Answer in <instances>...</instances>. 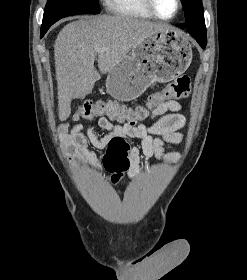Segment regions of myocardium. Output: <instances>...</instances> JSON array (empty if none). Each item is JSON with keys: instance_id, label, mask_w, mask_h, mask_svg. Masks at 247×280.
I'll list each match as a JSON object with an SVG mask.
<instances>
[{"instance_id": "obj_1", "label": "myocardium", "mask_w": 247, "mask_h": 280, "mask_svg": "<svg viewBox=\"0 0 247 280\" xmlns=\"http://www.w3.org/2000/svg\"><path fill=\"white\" fill-rule=\"evenodd\" d=\"M144 2H145V5H146V8L152 14V16L156 19L161 20V21H172V20H174L179 15L180 10L182 8V1L181 0H176L177 8H176V11H175L174 15L170 18H164L157 13V11L154 7L153 0H144Z\"/></svg>"}]
</instances>
